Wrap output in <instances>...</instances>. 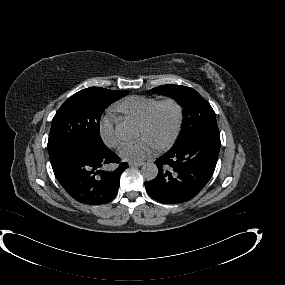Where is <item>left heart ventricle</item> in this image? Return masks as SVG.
<instances>
[{
    "instance_id": "left-heart-ventricle-1",
    "label": "left heart ventricle",
    "mask_w": 285,
    "mask_h": 285,
    "mask_svg": "<svg viewBox=\"0 0 285 285\" xmlns=\"http://www.w3.org/2000/svg\"><path fill=\"white\" fill-rule=\"evenodd\" d=\"M175 115V108L171 105L166 106L162 110L161 117L154 128L150 132H144L142 130V134L152 142L164 139L173 126Z\"/></svg>"
}]
</instances>
